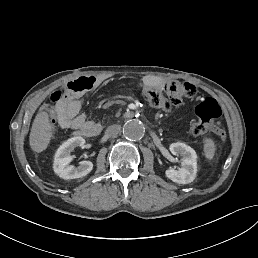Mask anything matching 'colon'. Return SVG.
Listing matches in <instances>:
<instances>
[{"label":"colon","mask_w":258,"mask_h":258,"mask_svg":"<svg viewBox=\"0 0 258 258\" xmlns=\"http://www.w3.org/2000/svg\"><path fill=\"white\" fill-rule=\"evenodd\" d=\"M70 89L69 86L65 85L53 92L50 97L51 103L57 106ZM143 92L152 107L169 111L193 98L196 89L194 85L188 82L169 80L162 89L149 86L145 87ZM196 115L197 121L191 126V133L194 136L203 135L211 130L221 139L226 138L224 129L219 125H213V122L221 115V109L214 99L207 98L198 104Z\"/></svg>","instance_id":"obj_1"}]
</instances>
